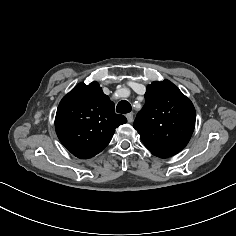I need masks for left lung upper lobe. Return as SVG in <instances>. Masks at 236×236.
Masks as SVG:
<instances>
[{
	"mask_svg": "<svg viewBox=\"0 0 236 236\" xmlns=\"http://www.w3.org/2000/svg\"><path fill=\"white\" fill-rule=\"evenodd\" d=\"M195 120L192 102L172 82L164 80L147 86L145 105L133 127L152 154L167 158L187 145Z\"/></svg>",
	"mask_w": 236,
	"mask_h": 236,
	"instance_id": "obj_1",
	"label": "left lung upper lobe"
}]
</instances>
